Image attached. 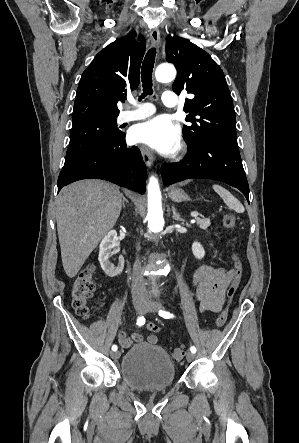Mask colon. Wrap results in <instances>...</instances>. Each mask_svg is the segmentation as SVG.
<instances>
[{
    "label": "colon",
    "instance_id": "obj_1",
    "mask_svg": "<svg viewBox=\"0 0 299 443\" xmlns=\"http://www.w3.org/2000/svg\"><path fill=\"white\" fill-rule=\"evenodd\" d=\"M223 225L226 229L234 233L232 236V259H233V271L232 280L227 290V300L231 302L234 298L237 288L239 287L241 277H242V263L240 261L239 255L237 253L238 248V236L235 234L237 229V218L233 214H226L223 217ZM94 272L95 267L93 264L88 265L84 268L74 280L71 296H72V307L76 313L83 319H88L90 317V309L88 306V301L91 298L94 289ZM228 318V309L225 308L216 319L215 325L217 327H222ZM185 349L183 347H177L172 351L173 359L179 361L184 357Z\"/></svg>",
    "mask_w": 299,
    "mask_h": 443
}]
</instances>
